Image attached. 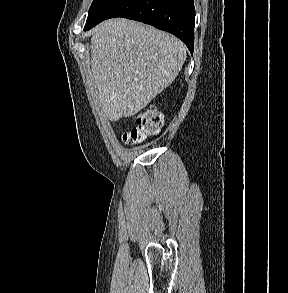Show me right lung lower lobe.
<instances>
[{"mask_svg": "<svg viewBox=\"0 0 288 293\" xmlns=\"http://www.w3.org/2000/svg\"><path fill=\"white\" fill-rule=\"evenodd\" d=\"M113 17L141 21L172 33L193 53L195 23L193 0H125L106 19Z\"/></svg>", "mask_w": 288, "mask_h": 293, "instance_id": "98d812e1", "label": "right lung lower lobe"}]
</instances>
